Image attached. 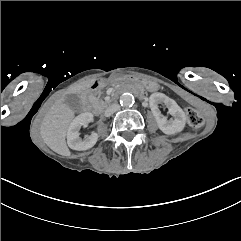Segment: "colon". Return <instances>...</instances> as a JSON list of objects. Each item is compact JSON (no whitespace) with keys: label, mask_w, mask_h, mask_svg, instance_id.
<instances>
[{"label":"colon","mask_w":241,"mask_h":241,"mask_svg":"<svg viewBox=\"0 0 241 241\" xmlns=\"http://www.w3.org/2000/svg\"><path fill=\"white\" fill-rule=\"evenodd\" d=\"M185 114L191 126L199 127L203 124V118L199 115L195 108L187 106L185 108Z\"/></svg>","instance_id":"1"}]
</instances>
